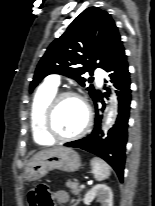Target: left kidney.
<instances>
[{"label":"left kidney","mask_w":155,"mask_h":206,"mask_svg":"<svg viewBox=\"0 0 155 206\" xmlns=\"http://www.w3.org/2000/svg\"><path fill=\"white\" fill-rule=\"evenodd\" d=\"M94 198H97L102 206H113V193L110 187L105 184H97L92 187L85 194L83 201L86 205H89Z\"/></svg>","instance_id":"5707ae66"}]
</instances>
